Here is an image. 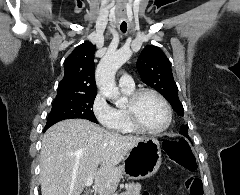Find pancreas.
Here are the masks:
<instances>
[{
  "label": "pancreas",
  "instance_id": "obj_1",
  "mask_svg": "<svg viewBox=\"0 0 240 195\" xmlns=\"http://www.w3.org/2000/svg\"><path fill=\"white\" fill-rule=\"evenodd\" d=\"M140 183H127L126 191H122L119 195H140Z\"/></svg>",
  "mask_w": 240,
  "mask_h": 195
}]
</instances>
